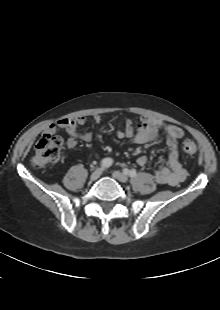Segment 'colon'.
<instances>
[{"label": "colon", "instance_id": "colon-1", "mask_svg": "<svg viewBox=\"0 0 220 310\" xmlns=\"http://www.w3.org/2000/svg\"><path fill=\"white\" fill-rule=\"evenodd\" d=\"M62 138L54 134H44L35 145L32 165L41 168L57 162L60 157ZM182 150L187 155H194L198 151L196 143L191 139L182 142Z\"/></svg>", "mask_w": 220, "mask_h": 310}]
</instances>
